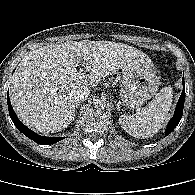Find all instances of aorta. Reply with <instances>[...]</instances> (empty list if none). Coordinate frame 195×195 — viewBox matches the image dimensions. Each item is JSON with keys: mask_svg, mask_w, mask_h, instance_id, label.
<instances>
[{"mask_svg": "<svg viewBox=\"0 0 195 195\" xmlns=\"http://www.w3.org/2000/svg\"><path fill=\"white\" fill-rule=\"evenodd\" d=\"M96 109H104L106 106V102L103 99H96L93 103Z\"/></svg>", "mask_w": 195, "mask_h": 195, "instance_id": "aorta-1", "label": "aorta"}]
</instances>
